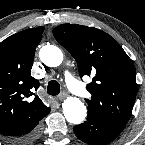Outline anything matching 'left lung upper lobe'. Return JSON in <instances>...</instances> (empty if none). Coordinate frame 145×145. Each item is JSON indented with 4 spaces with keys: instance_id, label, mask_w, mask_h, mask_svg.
<instances>
[{
    "instance_id": "left-lung-upper-lobe-1",
    "label": "left lung upper lobe",
    "mask_w": 145,
    "mask_h": 145,
    "mask_svg": "<svg viewBox=\"0 0 145 145\" xmlns=\"http://www.w3.org/2000/svg\"><path fill=\"white\" fill-rule=\"evenodd\" d=\"M53 34L75 58L80 77L93 76L88 115L123 127L137 94L132 60L110 35L93 27L63 24Z\"/></svg>"
}]
</instances>
